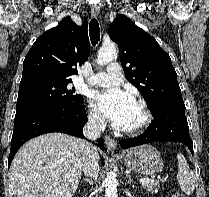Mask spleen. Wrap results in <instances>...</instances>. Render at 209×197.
Returning <instances> with one entry per match:
<instances>
[{
  "label": "spleen",
  "instance_id": "spleen-1",
  "mask_svg": "<svg viewBox=\"0 0 209 197\" xmlns=\"http://www.w3.org/2000/svg\"><path fill=\"white\" fill-rule=\"evenodd\" d=\"M177 160H178L177 179L179 181L180 188L185 194L190 195L195 190L194 174L190 170V167L187 164L186 158L184 157L183 154L179 153L177 155Z\"/></svg>",
  "mask_w": 209,
  "mask_h": 197
}]
</instances>
